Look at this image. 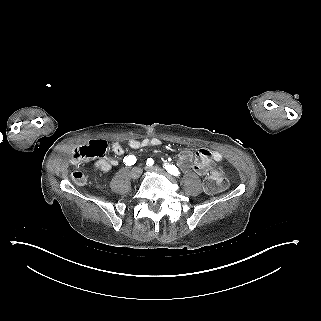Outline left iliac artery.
<instances>
[{
  "label": "left iliac artery",
  "mask_w": 321,
  "mask_h": 321,
  "mask_svg": "<svg viewBox=\"0 0 321 321\" xmlns=\"http://www.w3.org/2000/svg\"><path fill=\"white\" fill-rule=\"evenodd\" d=\"M146 164H147V166H152L154 164V160L152 158H148ZM164 168L166 169V171L168 173H170L174 176H179V174H180L179 170L174 165L165 164Z\"/></svg>",
  "instance_id": "left-iliac-artery-1"
}]
</instances>
